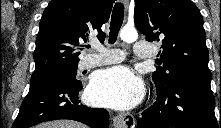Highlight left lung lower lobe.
<instances>
[{
	"label": "left lung lower lobe",
	"instance_id": "left-lung-lower-lobe-1",
	"mask_svg": "<svg viewBox=\"0 0 221 128\" xmlns=\"http://www.w3.org/2000/svg\"><path fill=\"white\" fill-rule=\"evenodd\" d=\"M210 82L184 80L157 91L156 102L138 118L137 128H221Z\"/></svg>",
	"mask_w": 221,
	"mask_h": 128
}]
</instances>
